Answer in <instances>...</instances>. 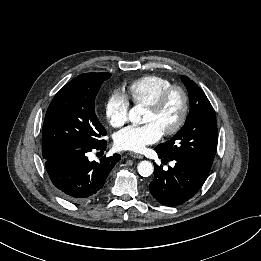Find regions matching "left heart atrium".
I'll use <instances>...</instances> for the list:
<instances>
[{
    "instance_id": "left-heart-atrium-1",
    "label": "left heart atrium",
    "mask_w": 261,
    "mask_h": 261,
    "mask_svg": "<svg viewBox=\"0 0 261 261\" xmlns=\"http://www.w3.org/2000/svg\"><path fill=\"white\" fill-rule=\"evenodd\" d=\"M163 132L153 123L141 126L131 125L119 131L115 136V146L120 150L141 152L146 146L161 139Z\"/></svg>"
}]
</instances>
